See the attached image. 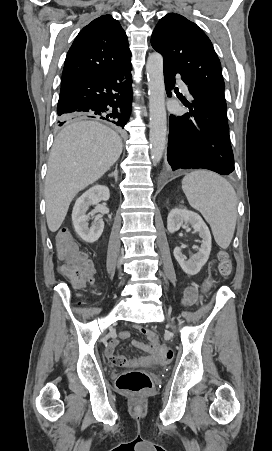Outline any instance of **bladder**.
Segmentation results:
<instances>
[{"label": "bladder", "instance_id": "31cf9c89", "mask_svg": "<svg viewBox=\"0 0 272 451\" xmlns=\"http://www.w3.org/2000/svg\"><path fill=\"white\" fill-rule=\"evenodd\" d=\"M149 366H150V367H155V366H156V363H150Z\"/></svg>", "mask_w": 272, "mask_h": 451}]
</instances>
